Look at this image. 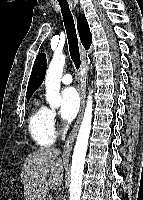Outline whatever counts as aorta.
<instances>
[{
	"instance_id": "aorta-1",
	"label": "aorta",
	"mask_w": 143,
	"mask_h": 200,
	"mask_svg": "<svg viewBox=\"0 0 143 200\" xmlns=\"http://www.w3.org/2000/svg\"><path fill=\"white\" fill-rule=\"evenodd\" d=\"M65 61V55L54 54L47 71L45 79L46 101L52 108L59 107L62 101L59 90ZM91 93L92 92H90L87 99L84 116L80 125L72 156L70 200H80L81 197L83 170L92 123Z\"/></svg>"
}]
</instances>
